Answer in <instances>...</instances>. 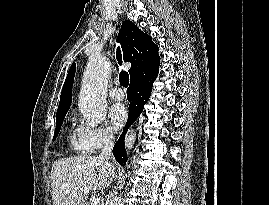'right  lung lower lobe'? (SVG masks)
<instances>
[{
    "instance_id": "obj_1",
    "label": "right lung lower lobe",
    "mask_w": 269,
    "mask_h": 205,
    "mask_svg": "<svg viewBox=\"0 0 269 205\" xmlns=\"http://www.w3.org/2000/svg\"><path fill=\"white\" fill-rule=\"evenodd\" d=\"M157 75L158 73L154 72L130 82V87L127 93L128 100L131 101L129 106L128 121L125 128L123 129V133L113 148V155L116 161L122 166H124L127 161V154L124 146L125 134L129 126L139 117L143 111V107L149 99L152 90V84Z\"/></svg>"
}]
</instances>
